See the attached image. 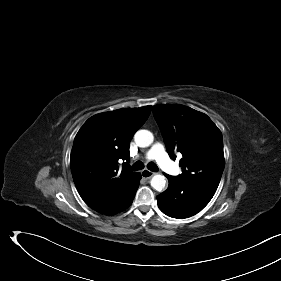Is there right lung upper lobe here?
<instances>
[{"instance_id": "obj_1", "label": "right lung upper lobe", "mask_w": 281, "mask_h": 281, "mask_svg": "<svg viewBox=\"0 0 281 281\" xmlns=\"http://www.w3.org/2000/svg\"><path fill=\"white\" fill-rule=\"evenodd\" d=\"M150 112L145 106L100 113L78 131L70 156L72 176L84 202L98 213H117L132 195L140 173L129 171L130 141Z\"/></svg>"}]
</instances>
